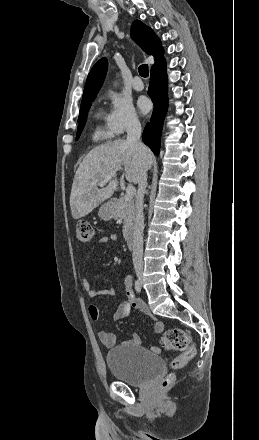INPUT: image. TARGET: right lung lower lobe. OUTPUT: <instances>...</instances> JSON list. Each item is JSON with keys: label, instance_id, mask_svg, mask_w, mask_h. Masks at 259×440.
Segmentation results:
<instances>
[{"label": "right lung lower lobe", "instance_id": "98d812e1", "mask_svg": "<svg viewBox=\"0 0 259 440\" xmlns=\"http://www.w3.org/2000/svg\"><path fill=\"white\" fill-rule=\"evenodd\" d=\"M148 94L154 103L153 115L143 131L142 139L154 154H159L161 128L167 109V75L165 59L151 70Z\"/></svg>", "mask_w": 259, "mask_h": 440}]
</instances>
